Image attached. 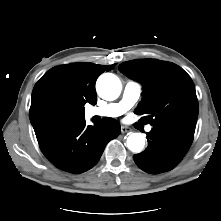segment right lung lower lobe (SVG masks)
Returning <instances> with one entry per match:
<instances>
[{
  "label": "right lung lower lobe",
  "instance_id": "obj_1",
  "mask_svg": "<svg viewBox=\"0 0 221 221\" xmlns=\"http://www.w3.org/2000/svg\"><path fill=\"white\" fill-rule=\"evenodd\" d=\"M120 130L112 118H104L97 126H86L83 118L61 123L37 140L53 165L77 174L97 164L107 143L116 138Z\"/></svg>",
  "mask_w": 221,
  "mask_h": 221
}]
</instances>
